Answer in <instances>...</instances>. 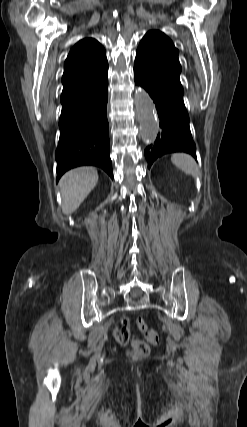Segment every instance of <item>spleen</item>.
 Wrapping results in <instances>:
<instances>
[{"label":"spleen","instance_id":"spleen-1","mask_svg":"<svg viewBox=\"0 0 247 427\" xmlns=\"http://www.w3.org/2000/svg\"><path fill=\"white\" fill-rule=\"evenodd\" d=\"M172 163L181 169L185 174L197 177L199 174L195 160L188 154L175 153L171 156Z\"/></svg>","mask_w":247,"mask_h":427}]
</instances>
